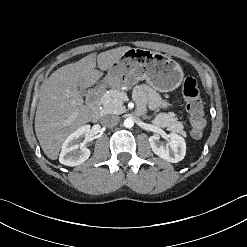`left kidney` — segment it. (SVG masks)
Segmentation results:
<instances>
[{
    "instance_id": "1",
    "label": "left kidney",
    "mask_w": 247,
    "mask_h": 247,
    "mask_svg": "<svg viewBox=\"0 0 247 247\" xmlns=\"http://www.w3.org/2000/svg\"><path fill=\"white\" fill-rule=\"evenodd\" d=\"M152 151L163 160L171 163L181 161L186 153V143L183 137L170 133L167 135V144H162L158 136L149 137Z\"/></svg>"
}]
</instances>
